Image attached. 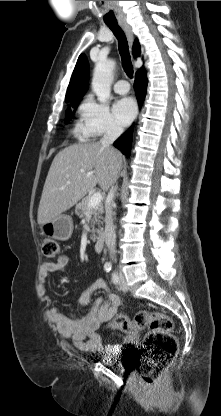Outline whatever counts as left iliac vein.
Instances as JSON below:
<instances>
[{"label":"left iliac vein","instance_id":"1","mask_svg":"<svg viewBox=\"0 0 221 416\" xmlns=\"http://www.w3.org/2000/svg\"><path fill=\"white\" fill-rule=\"evenodd\" d=\"M119 287L122 291H127V284L124 275H120L119 277Z\"/></svg>","mask_w":221,"mask_h":416}]
</instances>
